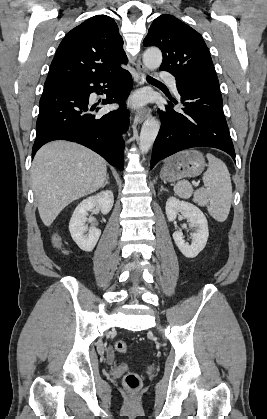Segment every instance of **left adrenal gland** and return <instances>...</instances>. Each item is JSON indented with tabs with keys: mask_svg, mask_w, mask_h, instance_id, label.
<instances>
[{
	"mask_svg": "<svg viewBox=\"0 0 267 419\" xmlns=\"http://www.w3.org/2000/svg\"><path fill=\"white\" fill-rule=\"evenodd\" d=\"M163 190L167 191L163 186H161L160 192H162Z\"/></svg>",
	"mask_w": 267,
	"mask_h": 419,
	"instance_id": "obj_1",
	"label": "left adrenal gland"
}]
</instances>
